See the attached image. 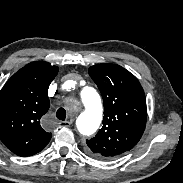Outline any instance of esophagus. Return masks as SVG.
<instances>
[{
	"label": "esophagus",
	"mask_w": 183,
	"mask_h": 183,
	"mask_svg": "<svg viewBox=\"0 0 183 183\" xmlns=\"http://www.w3.org/2000/svg\"><path fill=\"white\" fill-rule=\"evenodd\" d=\"M72 124V120L69 121H61L59 123L60 127H69Z\"/></svg>",
	"instance_id": "1"
}]
</instances>
